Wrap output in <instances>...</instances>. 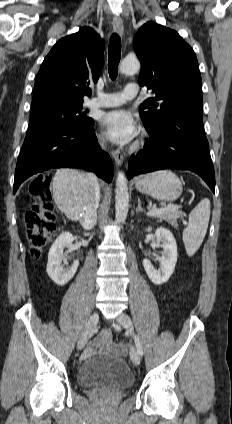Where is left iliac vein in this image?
<instances>
[{
	"mask_svg": "<svg viewBox=\"0 0 232 424\" xmlns=\"http://www.w3.org/2000/svg\"><path fill=\"white\" fill-rule=\"evenodd\" d=\"M116 321L123 328H125L129 334L133 333V324H132L131 318L127 314H125V313L119 314ZM130 358L135 365L140 364V355H139L138 351L136 350V348H134V347H132V349H131Z\"/></svg>",
	"mask_w": 232,
	"mask_h": 424,
	"instance_id": "4c4485c4",
	"label": "left iliac vein"
}]
</instances>
